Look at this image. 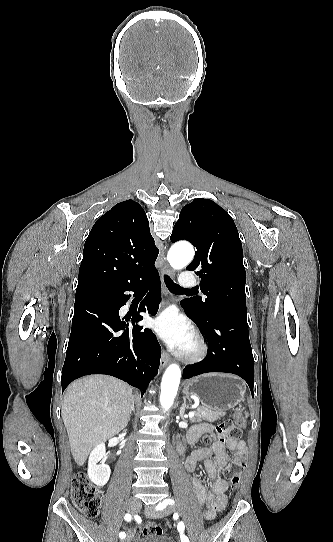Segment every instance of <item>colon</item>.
<instances>
[{"label":"colon","instance_id":"1","mask_svg":"<svg viewBox=\"0 0 333 542\" xmlns=\"http://www.w3.org/2000/svg\"><path fill=\"white\" fill-rule=\"evenodd\" d=\"M244 428L245 426L241 416L236 415L232 419L218 422L216 426V435L219 439H223L224 441L236 442L241 439ZM204 439L207 443L211 444L214 441V436L209 433ZM232 456L235 461L232 464V469L227 471L231 490L239 484L242 470L246 465V457L241 450H234ZM225 496L228 497L229 493H225ZM72 500L74 505L88 517H96L98 515L99 507L101 505L100 490L87 476L77 475L73 478ZM142 533L147 537L159 536L162 534V526L156 522H149L145 524Z\"/></svg>","mask_w":333,"mask_h":542}]
</instances>
